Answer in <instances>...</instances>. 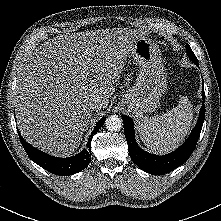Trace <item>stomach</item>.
Returning <instances> with one entry per match:
<instances>
[{"mask_svg":"<svg viewBox=\"0 0 221 221\" xmlns=\"http://www.w3.org/2000/svg\"><path fill=\"white\" fill-rule=\"evenodd\" d=\"M130 53L139 65V73L134 86L122 95V102L130 113L138 117L155 111L159 106L167 88L166 74L155 41L141 37L134 42Z\"/></svg>","mask_w":221,"mask_h":221,"instance_id":"0dacf381","label":"stomach"}]
</instances>
